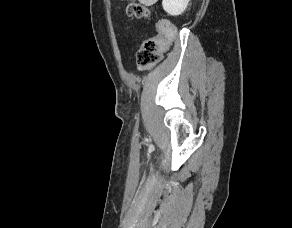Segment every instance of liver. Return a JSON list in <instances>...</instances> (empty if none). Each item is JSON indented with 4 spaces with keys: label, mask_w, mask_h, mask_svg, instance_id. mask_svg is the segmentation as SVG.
<instances>
[{
    "label": "liver",
    "mask_w": 292,
    "mask_h": 228,
    "mask_svg": "<svg viewBox=\"0 0 292 228\" xmlns=\"http://www.w3.org/2000/svg\"><path fill=\"white\" fill-rule=\"evenodd\" d=\"M138 1L146 6H151L155 4L158 0H138Z\"/></svg>",
    "instance_id": "6515ba94"
}]
</instances>
